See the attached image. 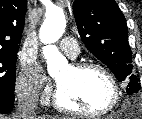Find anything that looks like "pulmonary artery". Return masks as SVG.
Masks as SVG:
<instances>
[{"mask_svg":"<svg viewBox=\"0 0 142 119\" xmlns=\"http://www.w3.org/2000/svg\"><path fill=\"white\" fill-rule=\"evenodd\" d=\"M62 51L69 57L75 58L78 56L80 50L77 42L72 38H64L60 41Z\"/></svg>","mask_w":142,"mask_h":119,"instance_id":"e3ab8cb5","label":"pulmonary artery"}]
</instances>
